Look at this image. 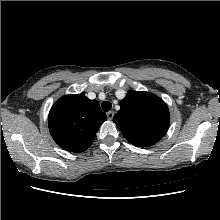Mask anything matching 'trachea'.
<instances>
[{"label": "trachea", "instance_id": "3493384b", "mask_svg": "<svg viewBox=\"0 0 220 220\" xmlns=\"http://www.w3.org/2000/svg\"><path fill=\"white\" fill-rule=\"evenodd\" d=\"M103 111L108 112L112 108V104L109 101H104L101 104Z\"/></svg>", "mask_w": 220, "mask_h": 220}]
</instances>
